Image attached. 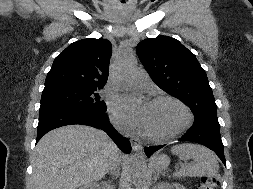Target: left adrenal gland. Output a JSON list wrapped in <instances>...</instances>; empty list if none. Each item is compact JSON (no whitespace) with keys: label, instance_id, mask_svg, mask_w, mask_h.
<instances>
[{"label":"left adrenal gland","instance_id":"left-adrenal-gland-1","mask_svg":"<svg viewBox=\"0 0 253 189\" xmlns=\"http://www.w3.org/2000/svg\"><path fill=\"white\" fill-rule=\"evenodd\" d=\"M154 178H155V180H156L157 178H159V173H156V172H155Z\"/></svg>","mask_w":253,"mask_h":189}]
</instances>
